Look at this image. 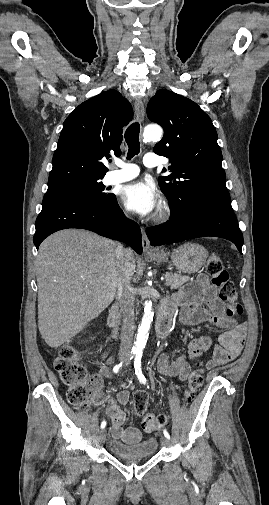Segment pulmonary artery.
<instances>
[{
	"label": "pulmonary artery",
	"mask_w": 269,
	"mask_h": 505,
	"mask_svg": "<svg viewBox=\"0 0 269 505\" xmlns=\"http://www.w3.org/2000/svg\"><path fill=\"white\" fill-rule=\"evenodd\" d=\"M115 165L117 169L109 172L106 176V181L109 184L121 183L135 178L139 169L136 165L123 162L121 160H115ZM143 163L146 167L158 166L161 162L157 155L153 153H148L144 156Z\"/></svg>",
	"instance_id": "1"
}]
</instances>
